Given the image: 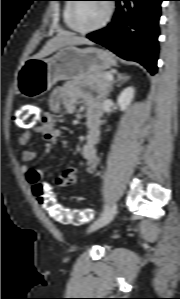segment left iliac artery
Here are the masks:
<instances>
[{
	"label": "left iliac artery",
	"mask_w": 180,
	"mask_h": 299,
	"mask_svg": "<svg viewBox=\"0 0 180 299\" xmlns=\"http://www.w3.org/2000/svg\"><path fill=\"white\" fill-rule=\"evenodd\" d=\"M108 209H109V206L106 204L103 211H102V213H101V215H103Z\"/></svg>",
	"instance_id": "obj_1"
}]
</instances>
